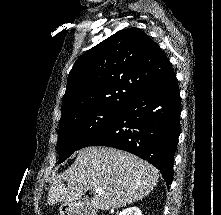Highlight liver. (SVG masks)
Listing matches in <instances>:
<instances>
[{
    "mask_svg": "<svg viewBox=\"0 0 221 215\" xmlns=\"http://www.w3.org/2000/svg\"><path fill=\"white\" fill-rule=\"evenodd\" d=\"M158 179L159 171L154 166L129 152L108 147H87L79 151L76 160L65 172L50 182L48 204L74 203L91 190V206L94 208L110 210L126 207L145 198ZM99 188L101 193H97Z\"/></svg>",
    "mask_w": 221,
    "mask_h": 215,
    "instance_id": "1",
    "label": "liver"
}]
</instances>
